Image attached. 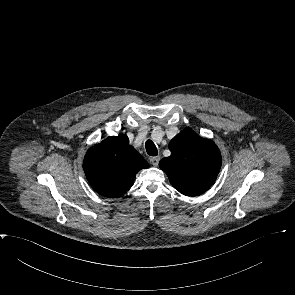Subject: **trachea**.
<instances>
[{
  "label": "trachea",
  "mask_w": 295,
  "mask_h": 295,
  "mask_svg": "<svg viewBox=\"0 0 295 295\" xmlns=\"http://www.w3.org/2000/svg\"><path fill=\"white\" fill-rule=\"evenodd\" d=\"M146 151L150 156H157L158 155V150L151 140H147L145 143Z\"/></svg>",
  "instance_id": "1"
}]
</instances>
